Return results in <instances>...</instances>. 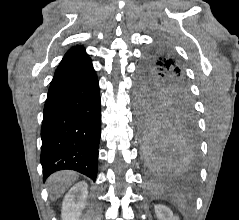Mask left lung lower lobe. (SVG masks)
Segmentation results:
<instances>
[{
	"instance_id": "obj_1",
	"label": "left lung lower lobe",
	"mask_w": 239,
	"mask_h": 220,
	"mask_svg": "<svg viewBox=\"0 0 239 220\" xmlns=\"http://www.w3.org/2000/svg\"><path fill=\"white\" fill-rule=\"evenodd\" d=\"M196 148L193 112H164L150 124H144L143 154L152 168L190 164Z\"/></svg>"
}]
</instances>
